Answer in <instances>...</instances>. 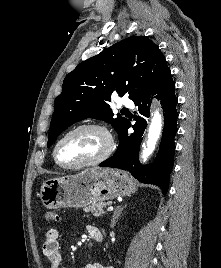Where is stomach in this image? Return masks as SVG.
Instances as JSON below:
<instances>
[{
    "label": "stomach",
    "mask_w": 221,
    "mask_h": 268,
    "mask_svg": "<svg viewBox=\"0 0 221 268\" xmlns=\"http://www.w3.org/2000/svg\"><path fill=\"white\" fill-rule=\"evenodd\" d=\"M136 192V183L126 172L89 168L76 175L45 181L40 199L48 209L84 207Z\"/></svg>",
    "instance_id": "stomach-1"
}]
</instances>
